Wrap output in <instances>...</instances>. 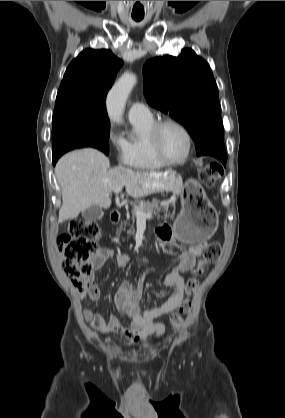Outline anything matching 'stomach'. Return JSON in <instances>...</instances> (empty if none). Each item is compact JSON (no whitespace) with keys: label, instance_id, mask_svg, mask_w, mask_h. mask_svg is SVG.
I'll return each instance as SVG.
<instances>
[{"label":"stomach","instance_id":"0dacf381","mask_svg":"<svg viewBox=\"0 0 285 418\" xmlns=\"http://www.w3.org/2000/svg\"><path fill=\"white\" fill-rule=\"evenodd\" d=\"M181 212L173 230L175 238L186 244L210 239L218 225L216 210L203 188L194 180H188L180 193Z\"/></svg>","mask_w":285,"mask_h":418}]
</instances>
